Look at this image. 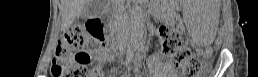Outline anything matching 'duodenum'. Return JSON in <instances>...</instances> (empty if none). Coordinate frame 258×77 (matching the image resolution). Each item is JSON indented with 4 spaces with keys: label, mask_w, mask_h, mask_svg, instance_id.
Returning <instances> with one entry per match:
<instances>
[{
    "label": "duodenum",
    "mask_w": 258,
    "mask_h": 77,
    "mask_svg": "<svg viewBox=\"0 0 258 77\" xmlns=\"http://www.w3.org/2000/svg\"><path fill=\"white\" fill-rule=\"evenodd\" d=\"M101 27L100 21L98 19H90L87 21V30L90 34H94ZM116 49L121 50L119 42L116 41Z\"/></svg>",
    "instance_id": "1"
}]
</instances>
